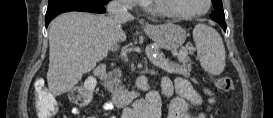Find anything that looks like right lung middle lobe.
<instances>
[{"mask_svg": "<svg viewBox=\"0 0 273 118\" xmlns=\"http://www.w3.org/2000/svg\"><path fill=\"white\" fill-rule=\"evenodd\" d=\"M90 1L98 2V3L104 4V5L109 2V0H90Z\"/></svg>", "mask_w": 273, "mask_h": 118, "instance_id": "right-lung-middle-lobe-1", "label": "right lung middle lobe"}]
</instances>
